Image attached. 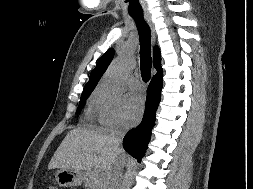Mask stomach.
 Returning <instances> with one entry per match:
<instances>
[{
  "mask_svg": "<svg viewBox=\"0 0 253 189\" xmlns=\"http://www.w3.org/2000/svg\"><path fill=\"white\" fill-rule=\"evenodd\" d=\"M55 178L59 186L72 187L80 185L85 181L86 174L82 171L61 168L56 171Z\"/></svg>",
  "mask_w": 253,
  "mask_h": 189,
  "instance_id": "0dacf381",
  "label": "stomach"
}]
</instances>
